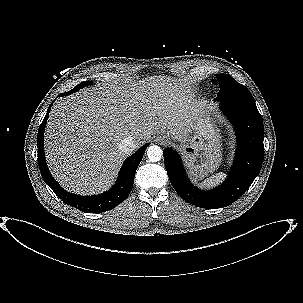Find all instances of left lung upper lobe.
<instances>
[{"label": "left lung upper lobe", "instance_id": "1", "mask_svg": "<svg viewBox=\"0 0 303 303\" xmlns=\"http://www.w3.org/2000/svg\"><path fill=\"white\" fill-rule=\"evenodd\" d=\"M212 82L220 86V91L216 98L218 101L225 99L254 101L249 90L229 75L217 74Z\"/></svg>", "mask_w": 303, "mask_h": 303}]
</instances>
